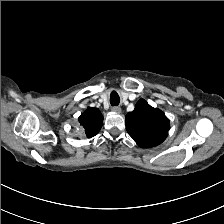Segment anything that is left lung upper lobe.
Instances as JSON below:
<instances>
[{"instance_id":"5c2ea615","label":"left lung upper lobe","mask_w":224,"mask_h":224,"mask_svg":"<svg viewBox=\"0 0 224 224\" xmlns=\"http://www.w3.org/2000/svg\"><path fill=\"white\" fill-rule=\"evenodd\" d=\"M128 134L142 148H151L161 144L170 128L165 114L140 99L133 112L126 115Z\"/></svg>"}]
</instances>
